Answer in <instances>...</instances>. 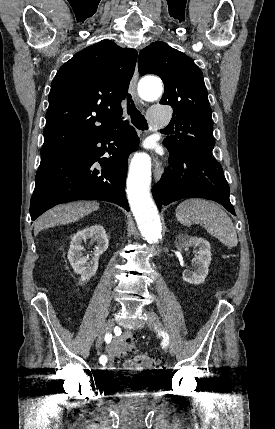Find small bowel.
Instances as JSON below:
<instances>
[{
	"label": "small bowel",
	"mask_w": 275,
	"mask_h": 429,
	"mask_svg": "<svg viewBox=\"0 0 275 429\" xmlns=\"http://www.w3.org/2000/svg\"><path fill=\"white\" fill-rule=\"evenodd\" d=\"M135 339L134 335L131 332H125L120 337L113 339L108 345L105 347L106 357L109 360V368L115 369L117 367V363L119 361L118 353L121 349L126 346V343L130 340ZM124 366L127 369L134 368L136 363L131 360H128L124 363Z\"/></svg>",
	"instance_id": "c3829d8e"
}]
</instances>
